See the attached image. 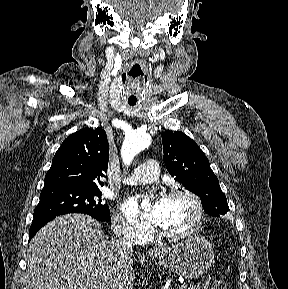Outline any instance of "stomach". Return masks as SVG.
<instances>
[{"mask_svg":"<svg viewBox=\"0 0 288 289\" xmlns=\"http://www.w3.org/2000/svg\"><path fill=\"white\" fill-rule=\"evenodd\" d=\"M214 263V250L203 236L193 235L171 247L160 265L179 276L194 279L206 273Z\"/></svg>","mask_w":288,"mask_h":289,"instance_id":"stomach-1","label":"stomach"}]
</instances>
